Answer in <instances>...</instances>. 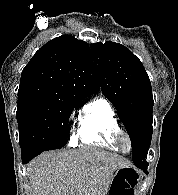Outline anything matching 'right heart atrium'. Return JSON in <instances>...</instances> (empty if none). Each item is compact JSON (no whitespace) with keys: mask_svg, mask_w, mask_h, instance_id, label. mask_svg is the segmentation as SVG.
Returning a JSON list of instances; mask_svg holds the SVG:
<instances>
[{"mask_svg":"<svg viewBox=\"0 0 178 195\" xmlns=\"http://www.w3.org/2000/svg\"><path fill=\"white\" fill-rule=\"evenodd\" d=\"M70 120H72V116H71ZM76 138H77V133H74V132H73V133H72V136H71V143H72V144L75 143Z\"/></svg>","mask_w":178,"mask_h":195,"instance_id":"obj_1","label":"right heart atrium"}]
</instances>
